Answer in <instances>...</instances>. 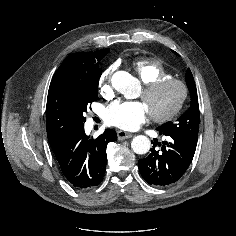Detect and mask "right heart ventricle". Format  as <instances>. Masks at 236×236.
Here are the masks:
<instances>
[{
    "label": "right heart ventricle",
    "mask_w": 236,
    "mask_h": 236,
    "mask_svg": "<svg viewBox=\"0 0 236 236\" xmlns=\"http://www.w3.org/2000/svg\"><path fill=\"white\" fill-rule=\"evenodd\" d=\"M134 70L143 84H148L157 79L172 77L163 63L154 58H144L134 62Z\"/></svg>",
    "instance_id": "e07e8e85"
}]
</instances>
